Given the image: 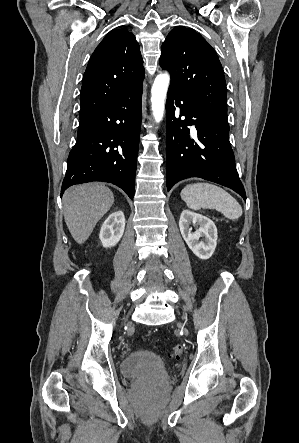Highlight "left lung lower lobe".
I'll return each instance as SVG.
<instances>
[{
	"label": "left lung lower lobe",
	"mask_w": 299,
	"mask_h": 443,
	"mask_svg": "<svg viewBox=\"0 0 299 443\" xmlns=\"http://www.w3.org/2000/svg\"><path fill=\"white\" fill-rule=\"evenodd\" d=\"M194 125L192 136L188 126ZM167 189L199 177L229 187L246 199L229 142L227 118L169 87L166 101Z\"/></svg>",
	"instance_id": "0a47b994"
}]
</instances>
